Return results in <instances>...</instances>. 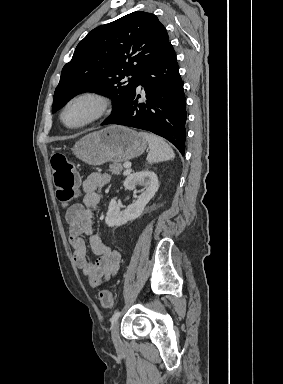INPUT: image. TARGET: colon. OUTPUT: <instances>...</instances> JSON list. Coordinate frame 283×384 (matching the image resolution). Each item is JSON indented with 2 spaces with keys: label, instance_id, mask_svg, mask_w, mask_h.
<instances>
[{
  "label": "colon",
  "instance_id": "obj_1",
  "mask_svg": "<svg viewBox=\"0 0 283 384\" xmlns=\"http://www.w3.org/2000/svg\"><path fill=\"white\" fill-rule=\"evenodd\" d=\"M56 195L63 204H68L75 196L77 189V176L73 165L62 153H55L51 157ZM100 304L104 308H110L113 304V297L110 291L101 290L98 295Z\"/></svg>",
  "mask_w": 283,
  "mask_h": 384
}]
</instances>
